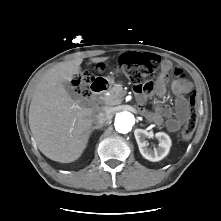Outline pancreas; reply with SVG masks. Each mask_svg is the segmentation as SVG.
I'll return each mask as SVG.
<instances>
[{"label":"pancreas","mask_w":221,"mask_h":221,"mask_svg":"<svg viewBox=\"0 0 221 221\" xmlns=\"http://www.w3.org/2000/svg\"><path fill=\"white\" fill-rule=\"evenodd\" d=\"M125 95L126 91L123 90V87L121 85H115L109 90V95L104 96L102 100L107 107L116 106L121 104Z\"/></svg>","instance_id":"obj_1"}]
</instances>
